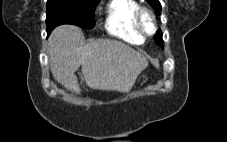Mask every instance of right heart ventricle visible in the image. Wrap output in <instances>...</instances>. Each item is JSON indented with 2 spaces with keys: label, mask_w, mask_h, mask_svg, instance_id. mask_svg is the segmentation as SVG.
I'll return each mask as SVG.
<instances>
[{
  "label": "right heart ventricle",
  "mask_w": 227,
  "mask_h": 142,
  "mask_svg": "<svg viewBox=\"0 0 227 142\" xmlns=\"http://www.w3.org/2000/svg\"><path fill=\"white\" fill-rule=\"evenodd\" d=\"M137 0H109L105 7L104 28L112 36L131 44H140L144 36L136 26Z\"/></svg>",
  "instance_id": "obj_1"
}]
</instances>
